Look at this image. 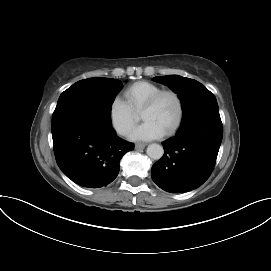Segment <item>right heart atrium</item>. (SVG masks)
I'll use <instances>...</instances> for the list:
<instances>
[{"mask_svg": "<svg viewBox=\"0 0 271 271\" xmlns=\"http://www.w3.org/2000/svg\"><path fill=\"white\" fill-rule=\"evenodd\" d=\"M109 121L119 135L127 136L134 128L137 116L124 100L115 97L109 106Z\"/></svg>", "mask_w": 271, "mask_h": 271, "instance_id": "1", "label": "right heart atrium"}]
</instances>
